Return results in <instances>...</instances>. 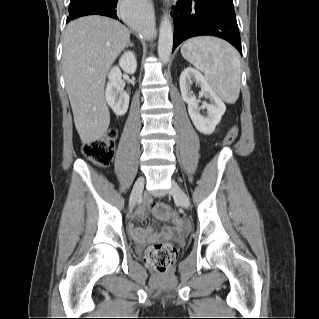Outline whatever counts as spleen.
Instances as JSON below:
<instances>
[{
    "label": "spleen",
    "mask_w": 319,
    "mask_h": 319,
    "mask_svg": "<svg viewBox=\"0 0 319 319\" xmlns=\"http://www.w3.org/2000/svg\"><path fill=\"white\" fill-rule=\"evenodd\" d=\"M181 54L204 73L213 91L225 102L235 103L240 93L241 68L238 52L215 37H194L185 41Z\"/></svg>",
    "instance_id": "1"
}]
</instances>
